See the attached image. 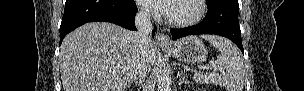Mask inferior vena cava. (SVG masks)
Returning a JSON list of instances; mask_svg holds the SVG:
<instances>
[{
    "label": "inferior vena cava",
    "instance_id": "inferior-vena-cava-1",
    "mask_svg": "<svg viewBox=\"0 0 304 91\" xmlns=\"http://www.w3.org/2000/svg\"><path fill=\"white\" fill-rule=\"evenodd\" d=\"M136 32H133L137 44V62L135 65V77L143 79L151 70L148 50L151 40L152 23L148 10L140 9L135 17Z\"/></svg>",
    "mask_w": 304,
    "mask_h": 91
}]
</instances>
